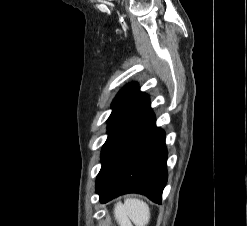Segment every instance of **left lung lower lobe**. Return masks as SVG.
<instances>
[{"mask_svg": "<svg viewBox=\"0 0 247 226\" xmlns=\"http://www.w3.org/2000/svg\"><path fill=\"white\" fill-rule=\"evenodd\" d=\"M155 122L149 97L139 88L110 119L96 179L101 203L124 193H140L161 203L167 150L165 133Z\"/></svg>", "mask_w": 247, "mask_h": 226, "instance_id": "left-lung-lower-lobe-1", "label": "left lung lower lobe"}]
</instances>
